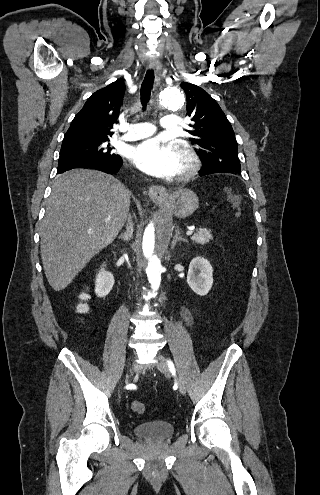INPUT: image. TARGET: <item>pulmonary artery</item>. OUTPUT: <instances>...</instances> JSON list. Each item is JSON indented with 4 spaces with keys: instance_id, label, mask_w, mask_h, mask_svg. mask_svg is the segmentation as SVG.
<instances>
[{
    "instance_id": "pulmonary-artery-1",
    "label": "pulmonary artery",
    "mask_w": 320,
    "mask_h": 495,
    "mask_svg": "<svg viewBox=\"0 0 320 495\" xmlns=\"http://www.w3.org/2000/svg\"><path fill=\"white\" fill-rule=\"evenodd\" d=\"M179 118L172 115L162 117L161 127L167 131H175L179 127ZM155 132V127L148 122L135 123L130 125L127 134L122 139L127 141L139 140L151 136Z\"/></svg>"
}]
</instances>
